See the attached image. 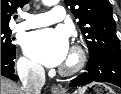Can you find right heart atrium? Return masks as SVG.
<instances>
[{
  "mask_svg": "<svg viewBox=\"0 0 121 94\" xmlns=\"http://www.w3.org/2000/svg\"><path fill=\"white\" fill-rule=\"evenodd\" d=\"M20 76L24 78L37 77L41 75V67L26 56L21 57L17 63Z\"/></svg>",
  "mask_w": 121,
  "mask_h": 94,
  "instance_id": "right-heart-atrium-1",
  "label": "right heart atrium"
}]
</instances>
